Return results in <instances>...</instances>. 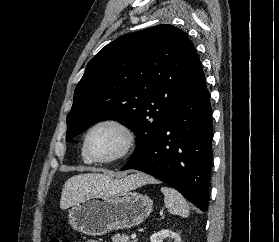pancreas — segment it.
<instances>
[{
	"label": "pancreas",
	"instance_id": "cf45deb5",
	"mask_svg": "<svg viewBox=\"0 0 279 242\" xmlns=\"http://www.w3.org/2000/svg\"><path fill=\"white\" fill-rule=\"evenodd\" d=\"M113 242H135L134 240L130 241L129 236L126 234H116L112 237Z\"/></svg>",
	"mask_w": 279,
	"mask_h": 242
}]
</instances>
